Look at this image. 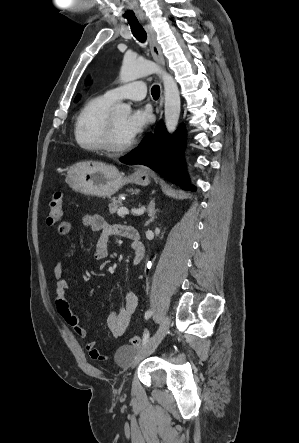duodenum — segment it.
Here are the masks:
<instances>
[{"mask_svg":"<svg viewBox=\"0 0 299 443\" xmlns=\"http://www.w3.org/2000/svg\"><path fill=\"white\" fill-rule=\"evenodd\" d=\"M128 237L133 241V249L136 253H143L144 248L140 241V235L139 232L135 228H131L128 232Z\"/></svg>","mask_w":299,"mask_h":443,"instance_id":"1","label":"duodenum"}]
</instances>
